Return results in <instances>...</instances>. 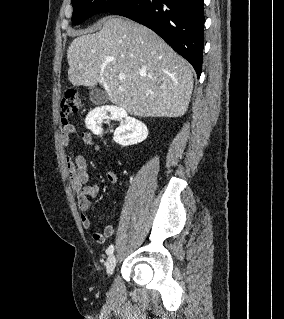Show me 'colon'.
<instances>
[{
  "instance_id": "colon-1",
  "label": "colon",
  "mask_w": 284,
  "mask_h": 319,
  "mask_svg": "<svg viewBox=\"0 0 284 319\" xmlns=\"http://www.w3.org/2000/svg\"><path fill=\"white\" fill-rule=\"evenodd\" d=\"M81 109V100L75 90H65L61 97L60 114L63 125L69 124V119Z\"/></svg>"
}]
</instances>
